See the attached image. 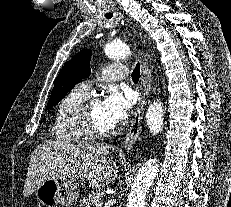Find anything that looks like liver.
<instances>
[{"instance_id":"liver-1","label":"liver","mask_w":231,"mask_h":207,"mask_svg":"<svg viewBox=\"0 0 231 207\" xmlns=\"http://www.w3.org/2000/svg\"><path fill=\"white\" fill-rule=\"evenodd\" d=\"M111 148L108 144L87 141H47L38 145L30 158L24 196L33 194L51 177L87 181L92 188L108 185L118 173L114 158L108 156Z\"/></svg>"}]
</instances>
